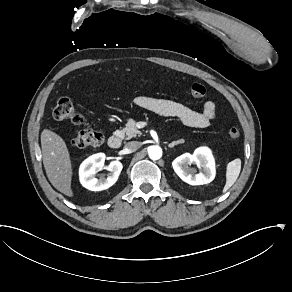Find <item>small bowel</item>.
I'll return each instance as SVG.
<instances>
[{"label": "small bowel", "mask_w": 292, "mask_h": 292, "mask_svg": "<svg viewBox=\"0 0 292 292\" xmlns=\"http://www.w3.org/2000/svg\"><path fill=\"white\" fill-rule=\"evenodd\" d=\"M134 104L164 116L177 117L185 125L205 128L215 119L216 107L212 101L204 102L201 111L193 110L181 103L148 96H137Z\"/></svg>", "instance_id": "c3829d8e"}]
</instances>
